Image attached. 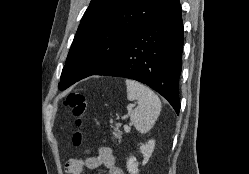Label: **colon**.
Segmentation results:
<instances>
[{"label":"colon","mask_w":249,"mask_h":174,"mask_svg":"<svg viewBox=\"0 0 249 174\" xmlns=\"http://www.w3.org/2000/svg\"><path fill=\"white\" fill-rule=\"evenodd\" d=\"M65 105L72 110L75 118V125L77 127V130L73 135V144L75 146H80L83 142L82 127L87 108L86 96L82 92L72 91L66 96Z\"/></svg>","instance_id":"colon-1"}]
</instances>
